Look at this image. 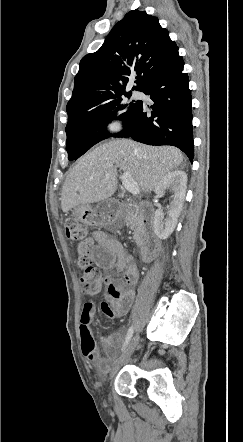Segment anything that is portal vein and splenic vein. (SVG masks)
Masks as SVG:
<instances>
[{"mask_svg": "<svg viewBox=\"0 0 243 442\" xmlns=\"http://www.w3.org/2000/svg\"><path fill=\"white\" fill-rule=\"evenodd\" d=\"M123 186L133 195H137L139 193V187L136 181L133 179L132 174L130 172H125L122 176H120Z\"/></svg>", "mask_w": 243, "mask_h": 442, "instance_id": "portal-vein-and-splenic-vein-1", "label": "portal vein and splenic vein"}]
</instances>
